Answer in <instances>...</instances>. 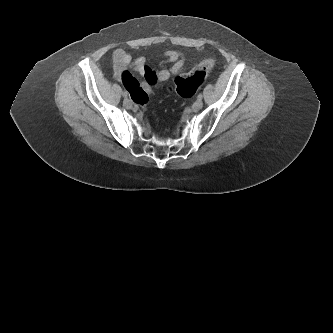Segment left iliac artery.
Segmentation results:
<instances>
[{"label": "left iliac artery", "instance_id": "obj_1", "mask_svg": "<svg viewBox=\"0 0 333 333\" xmlns=\"http://www.w3.org/2000/svg\"><path fill=\"white\" fill-rule=\"evenodd\" d=\"M202 97H203V96H202L201 93L197 96V98L200 99V100H202Z\"/></svg>", "mask_w": 333, "mask_h": 333}]
</instances>
